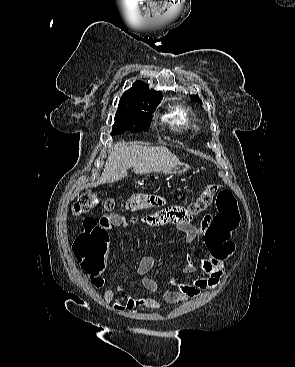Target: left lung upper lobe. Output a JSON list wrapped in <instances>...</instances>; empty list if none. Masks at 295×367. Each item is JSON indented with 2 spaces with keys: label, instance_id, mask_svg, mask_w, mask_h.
I'll use <instances>...</instances> for the list:
<instances>
[{
  "label": "left lung upper lobe",
  "instance_id": "1",
  "mask_svg": "<svg viewBox=\"0 0 295 367\" xmlns=\"http://www.w3.org/2000/svg\"><path fill=\"white\" fill-rule=\"evenodd\" d=\"M190 98L195 99V100L199 101L200 103H202V101H201V99L199 98L198 95H190Z\"/></svg>",
  "mask_w": 295,
  "mask_h": 367
}]
</instances>
